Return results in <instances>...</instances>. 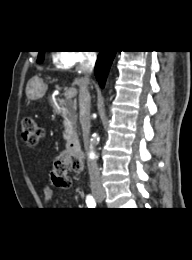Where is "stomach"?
<instances>
[{
	"label": "stomach",
	"mask_w": 192,
	"mask_h": 260,
	"mask_svg": "<svg viewBox=\"0 0 192 260\" xmlns=\"http://www.w3.org/2000/svg\"><path fill=\"white\" fill-rule=\"evenodd\" d=\"M27 88V97L31 100L40 99L46 92V85L37 77L29 81Z\"/></svg>",
	"instance_id": "stomach-1"
}]
</instances>
